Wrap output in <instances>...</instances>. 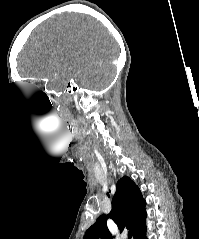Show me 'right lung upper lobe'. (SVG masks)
<instances>
[{
	"label": "right lung upper lobe",
	"instance_id": "obj_1",
	"mask_svg": "<svg viewBox=\"0 0 199 239\" xmlns=\"http://www.w3.org/2000/svg\"><path fill=\"white\" fill-rule=\"evenodd\" d=\"M146 201L138 186L127 176L122 177L116 186L109 215L100 216L86 231L83 239H111L106 220L112 218L120 232L125 228L135 232L146 221Z\"/></svg>",
	"mask_w": 199,
	"mask_h": 239
}]
</instances>
